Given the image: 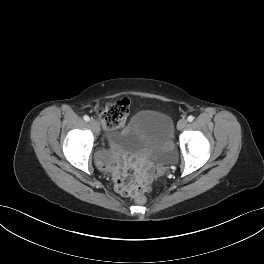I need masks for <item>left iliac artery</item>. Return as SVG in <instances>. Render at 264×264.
I'll use <instances>...</instances> for the list:
<instances>
[{"instance_id":"left-iliac-artery-1","label":"left iliac artery","mask_w":264,"mask_h":264,"mask_svg":"<svg viewBox=\"0 0 264 264\" xmlns=\"http://www.w3.org/2000/svg\"><path fill=\"white\" fill-rule=\"evenodd\" d=\"M187 120H188L189 122H192V121L194 120V117H193L192 115H190V116H188Z\"/></svg>"}]
</instances>
